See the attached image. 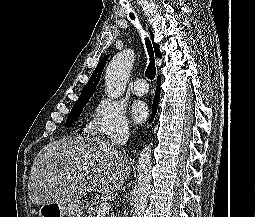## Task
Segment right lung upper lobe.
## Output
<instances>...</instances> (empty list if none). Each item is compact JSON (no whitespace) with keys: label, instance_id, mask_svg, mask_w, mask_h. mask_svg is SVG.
Instances as JSON below:
<instances>
[{"label":"right lung upper lobe","instance_id":"right-lung-upper-lobe-1","mask_svg":"<svg viewBox=\"0 0 255 217\" xmlns=\"http://www.w3.org/2000/svg\"><path fill=\"white\" fill-rule=\"evenodd\" d=\"M150 33H151V37H152V40L154 38V35L152 33L151 30H149ZM153 45H154V50H155V54L158 58H162V54L159 50V44L157 43H154L153 42ZM108 56L109 55H106L100 62L99 64L97 65L96 69L94 70V72L92 73L91 75V78L90 80L88 81V83L84 86L82 92H81V95L83 94H87V93H94L95 91V88L97 86V84L99 83V80H100V77H101V74H102V71L104 69V66H105V63H106V60L108 59Z\"/></svg>","mask_w":255,"mask_h":217}]
</instances>
